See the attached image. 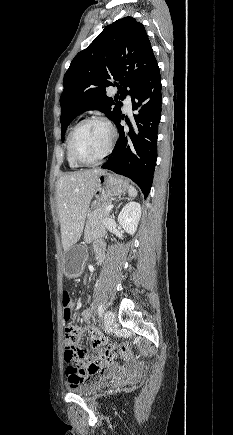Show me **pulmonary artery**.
I'll return each instance as SVG.
<instances>
[{
    "mask_svg": "<svg viewBox=\"0 0 233 435\" xmlns=\"http://www.w3.org/2000/svg\"><path fill=\"white\" fill-rule=\"evenodd\" d=\"M131 97L129 95H127L124 99V108L125 110H130L131 109Z\"/></svg>",
    "mask_w": 233,
    "mask_h": 435,
    "instance_id": "e3ab8cb5",
    "label": "pulmonary artery"
}]
</instances>
